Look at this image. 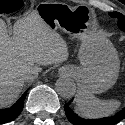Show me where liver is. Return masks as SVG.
Wrapping results in <instances>:
<instances>
[{
  "mask_svg": "<svg viewBox=\"0 0 125 125\" xmlns=\"http://www.w3.org/2000/svg\"><path fill=\"white\" fill-rule=\"evenodd\" d=\"M66 42L33 11L17 20L13 34L0 20V108L14 103L24 86L23 74L40 65L68 59Z\"/></svg>",
  "mask_w": 125,
  "mask_h": 125,
  "instance_id": "6515ba94",
  "label": "liver"
}]
</instances>
